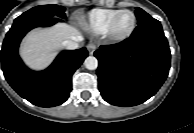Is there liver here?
<instances>
[{
  "mask_svg": "<svg viewBox=\"0 0 194 133\" xmlns=\"http://www.w3.org/2000/svg\"><path fill=\"white\" fill-rule=\"evenodd\" d=\"M80 36L74 27L58 23L47 29H35L24 38L20 54L24 62L33 70H42L51 64L61 44Z\"/></svg>",
  "mask_w": 194,
  "mask_h": 133,
  "instance_id": "6515ba94",
  "label": "liver"
}]
</instances>
